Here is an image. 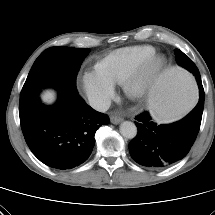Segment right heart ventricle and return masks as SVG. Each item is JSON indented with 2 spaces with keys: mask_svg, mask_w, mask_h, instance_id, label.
<instances>
[{
  "mask_svg": "<svg viewBox=\"0 0 215 215\" xmlns=\"http://www.w3.org/2000/svg\"><path fill=\"white\" fill-rule=\"evenodd\" d=\"M153 55L155 49L149 45L123 47L99 59L95 69L113 84H121L134 67Z\"/></svg>",
  "mask_w": 215,
  "mask_h": 215,
  "instance_id": "right-heart-ventricle-1",
  "label": "right heart ventricle"
}]
</instances>
